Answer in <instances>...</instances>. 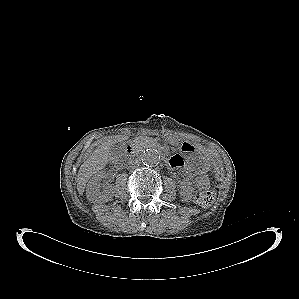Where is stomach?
I'll return each instance as SVG.
<instances>
[{"instance_id": "stomach-1", "label": "stomach", "mask_w": 299, "mask_h": 299, "mask_svg": "<svg viewBox=\"0 0 299 299\" xmlns=\"http://www.w3.org/2000/svg\"><path fill=\"white\" fill-rule=\"evenodd\" d=\"M171 143H173V141H171ZM180 147H182V150L186 151L185 154L195 170L202 171L206 169L208 156L203 149L188 142L182 143Z\"/></svg>"}]
</instances>
